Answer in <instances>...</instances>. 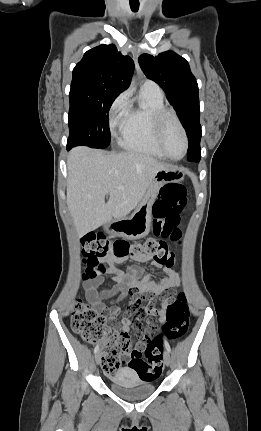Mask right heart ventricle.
<instances>
[{
	"instance_id": "e07e8e85",
	"label": "right heart ventricle",
	"mask_w": 261,
	"mask_h": 431,
	"mask_svg": "<svg viewBox=\"0 0 261 431\" xmlns=\"http://www.w3.org/2000/svg\"><path fill=\"white\" fill-rule=\"evenodd\" d=\"M141 95L145 105L130 108L125 124L121 129L119 144L128 151L165 158L155 141L152 122V114L165 109L163 96L144 89H141Z\"/></svg>"
}]
</instances>
